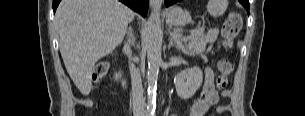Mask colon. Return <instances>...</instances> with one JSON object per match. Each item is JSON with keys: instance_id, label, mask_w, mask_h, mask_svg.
Returning <instances> with one entry per match:
<instances>
[{"instance_id": "obj_1", "label": "colon", "mask_w": 305, "mask_h": 116, "mask_svg": "<svg viewBox=\"0 0 305 116\" xmlns=\"http://www.w3.org/2000/svg\"><path fill=\"white\" fill-rule=\"evenodd\" d=\"M242 26V18L239 13L231 12L228 14L222 26L223 44L227 50L233 47L235 37L238 35ZM109 70L106 62L97 63L92 70L93 82H99L103 79ZM219 74L216 79V85L219 89H223L228 85V77L233 71V64L229 58L224 57L218 62Z\"/></svg>"}]
</instances>
